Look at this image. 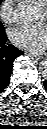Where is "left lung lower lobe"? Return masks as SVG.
I'll list each match as a JSON object with an SVG mask.
<instances>
[{
    "label": "left lung lower lobe",
    "instance_id": "left-lung-lower-lobe-1",
    "mask_svg": "<svg viewBox=\"0 0 47 129\" xmlns=\"http://www.w3.org/2000/svg\"><path fill=\"white\" fill-rule=\"evenodd\" d=\"M44 86L47 89V81H44Z\"/></svg>",
    "mask_w": 47,
    "mask_h": 129
}]
</instances>
